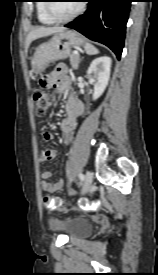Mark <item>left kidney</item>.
<instances>
[{
	"mask_svg": "<svg viewBox=\"0 0 158 275\" xmlns=\"http://www.w3.org/2000/svg\"><path fill=\"white\" fill-rule=\"evenodd\" d=\"M111 58L108 56H101L92 61L87 70L89 82L94 86L93 100L98 99L105 91L111 70Z\"/></svg>",
	"mask_w": 158,
	"mask_h": 275,
	"instance_id": "obj_1",
	"label": "left kidney"
}]
</instances>
